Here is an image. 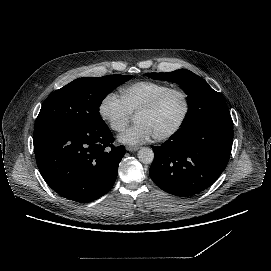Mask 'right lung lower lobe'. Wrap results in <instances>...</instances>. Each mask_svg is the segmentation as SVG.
<instances>
[{"label":"right lung lower lobe","mask_w":271,"mask_h":271,"mask_svg":"<svg viewBox=\"0 0 271 271\" xmlns=\"http://www.w3.org/2000/svg\"><path fill=\"white\" fill-rule=\"evenodd\" d=\"M104 123L82 126L46 123L35 127L34 152L40 173L60 196L86 203L113 186L124 146H114Z\"/></svg>","instance_id":"obj_1"}]
</instances>
